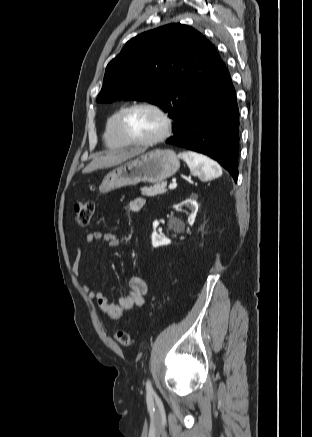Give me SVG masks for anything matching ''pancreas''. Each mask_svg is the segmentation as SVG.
<instances>
[{"label":"pancreas","instance_id":"pancreas-1","mask_svg":"<svg viewBox=\"0 0 312 437\" xmlns=\"http://www.w3.org/2000/svg\"><path fill=\"white\" fill-rule=\"evenodd\" d=\"M166 182H162L150 187L141 188L142 195L154 197L157 195H162L166 192Z\"/></svg>","mask_w":312,"mask_h":437}]
</instances>
